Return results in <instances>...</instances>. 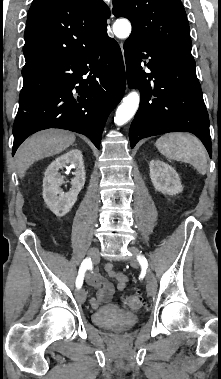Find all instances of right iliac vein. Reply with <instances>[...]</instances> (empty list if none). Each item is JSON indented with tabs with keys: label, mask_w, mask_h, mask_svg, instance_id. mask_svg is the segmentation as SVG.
I'll list each match as a JSON object with an SVG mask.
<instances>
[{
	"label": "right iliac vein",
	"mask_w": 221,
	"mask_h": 379,
	"mask_svg": "<svg viewBox=\"0 0 221 379\" xmlns=\"http://www.w3.org/2000/svg\"><path fill=\"white\" fill-rule=\"evenodd\" d=\"M88 255L93 259L96 260L99 255V251L97 248H91L88 252ZM76 298L79 302L83 303L86 300V292L84 289H79L76 293Z\"/></svg>",
	"instance_id": "63e3f726"
}]
</instances>
